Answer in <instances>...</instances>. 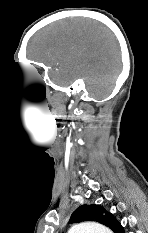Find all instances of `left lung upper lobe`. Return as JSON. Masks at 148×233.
<instances>
[{
    "instance_id": "obj_1",
    "label": "left lung upper lobe",
    "mask_w": 148,
    "mask_h": 233,
    "mask_svg": "<svg viewBox=\"0 0 148 233\" xmlns=\"http://www.w3.org/2000/svg\"><path fill=\"white\" fill-rule=\"evenodd\" d=\"M100 205H83L79 207L71 216L70 223L82 221H96L109 227L114 233H124L120 223L112 214L106 213Z\"/></svg>"
}]
</instances>
